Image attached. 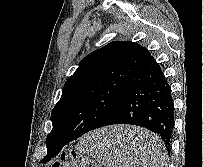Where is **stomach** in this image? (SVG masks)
I'll use <instances>...</instances> for the list:
<instances>
[{"mask_svg":"<svg viewBox=\"0 0 203 167\" xmlns=\"http://www.w3.org/2000/svg\"><path fill=\"white\" fill-rule=\"evenodd\" d=\"M107 129H109V128H107ZM107 129H104V130H101V131H104L105 133L107 132Z\"/></svg>","mask_w":203,"mask_h":167,"instance_id":"0dacf381","label":"stomach"}]
</instances>
